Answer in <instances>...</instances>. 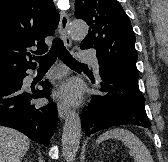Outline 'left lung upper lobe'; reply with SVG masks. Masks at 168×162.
Returning <instances> with one entry per match:
<instances>
[{"label":"left lung upper lobe","mask_w":168,"mask_h":162,"mask_svg":"<svg viewBox=\"0 0 168 162\" xmlns=\"http://www.w3.org/2000/svg\"><path fill=\"white\" fill-rule=\"evenodd\" d=\"M75 16L89 25L81 49L94 48L103 69L138 79L131 22L116 0H76Z\"/></svg>","instance_id":"1"}]
</instances>
